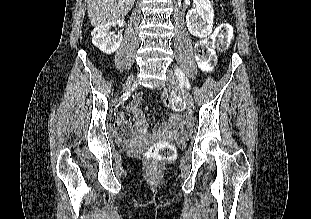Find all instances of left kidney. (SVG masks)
Here are the masks:
<instances>
[{
    "mask_svg": "<svg viewBox=\"0 0 311 219\" xmlns=\"http://www.w3.org/2000/svg\"><path fill=\"white\" fill-rule=\"evenodd\" d=\"M195 8L188 11L186 23L189 32L198 37L209 36L213 28L214 10L210 0H193Z\"/></svg>",
    "mask_w": 311,
    "mask_h": 219,
    "instance_id": "1",
    "label": "left kidney"
}]
</instances>
